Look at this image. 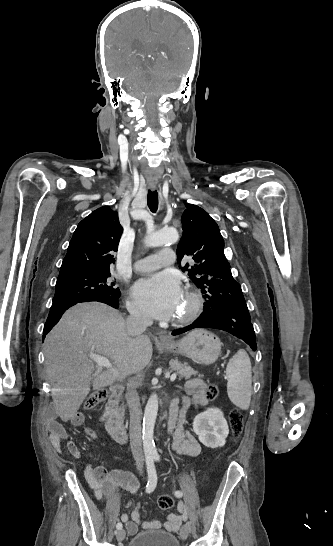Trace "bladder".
<instances>
[{"label":"bladder","mask_w":333,"mask_h":546,"mask_svg":"<svg viewBox=\"0 0 333 546\" xmlns=\"http://www.w3.org/2000/svg\"><path fill=\"white\" fill-rule=\"evenodd\" d=\"M128 546H180V543L171 533L148 529L134 535Z\"/></svg>","instance_id":"1"}]
</instances>
